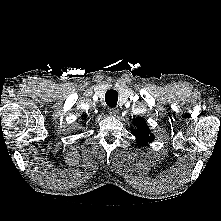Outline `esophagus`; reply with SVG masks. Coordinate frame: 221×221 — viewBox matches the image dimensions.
Wrapping results in <instances>:
<instances>
[{
  "mask_svg": "<svg viewBox=\"0 0 221 221\" xmlns=\"http://www.w3.org/2000/svg\"><path fill=\"white\" fill-rule=\"evenodd\" d=\"M108 113H109V115L110 116H117L118 115V113H119V110L118 109H116V108H110L109 110H108Z\"/></svg>",
  "mask_w": 221,
  "mask_h": 221,
  "instance_id": "34e87169",
  "label": "esophagus"
}]
</instances>
